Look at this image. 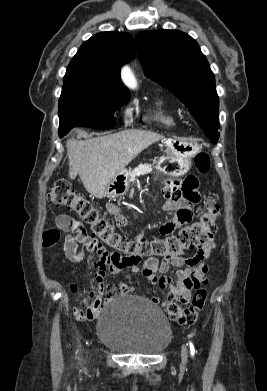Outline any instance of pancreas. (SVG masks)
<instances>
[{"instance_id":"obj_1","label":"pancreas","mask_w":267,"mask_h":391,"mask_svg":"<svg viewBox=\"0 0 267 391\" xmlns=\"http://www.w3.org/2000/svg\"><path fill=\"white\" fill-rule=\"evenodd\" d=\"M152 172L150 164H140L130 172V181H134L136 177Z\"/></svg>"}]
</instances>
